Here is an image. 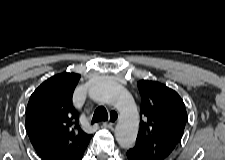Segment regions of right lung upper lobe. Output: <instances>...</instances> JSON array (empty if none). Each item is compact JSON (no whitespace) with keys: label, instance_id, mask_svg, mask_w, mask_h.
Instances as JSON below:
<instances>
[{"label":"right lung upper lobe","instance_id":"1","mask_svg":"<svg viewBox=\"0 0 225 160\" xmlns=\"http://www.w3.org/2000/svg\"><path fill=\"white\" fill-rule=\"evenodd\" d=\"M79 74L62 73L43 82L31 95L26 130L37 153L46 160H78L92 135L79 124L72 95Z\"/></svg>","mask_w":225,"mask_h":160}]
</instances>
